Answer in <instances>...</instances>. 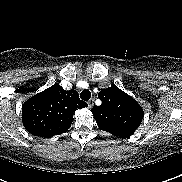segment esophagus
<instances>
[{
	"instance_id": "1",
	"label": "esophagus",
	"mask_w": 182,
	"mask_h": 182,
	"mask_svg": "<svg viewBox=\"0 0 182 182\" xmlns=\"http://www.w3.org/2000/svg\"><path fill=\"white\" fill-rule=\"evenodd\" d=\"M87 104H88V107H89V108H92L93 105H94V99L91 98V99L87 102Z\"/></svg>"
}]
</instances>
